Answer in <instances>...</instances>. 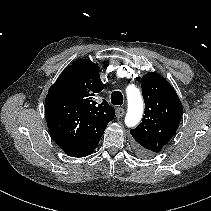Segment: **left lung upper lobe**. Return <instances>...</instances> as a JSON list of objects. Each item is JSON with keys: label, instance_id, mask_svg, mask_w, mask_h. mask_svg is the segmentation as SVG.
I'll return each mask as SVG.
<instances>
[{"label": "left lung upper lobe", "instance_id": "5c2ea615", "mask_svg": "<svg viewBox=\"0 0 211 211\" xmlns=\"http://www.w3.org/2000/svg\"><path fill=\"white\" fill-rule=\"evenodd\" d=\"M145 115L140 125L131 130L137 149L158 153L175 135L183 106L169 82L157 73H147L141 79Z\"/></svg>", "mask_w": 211, "mask_h": 211}]
</instances>
